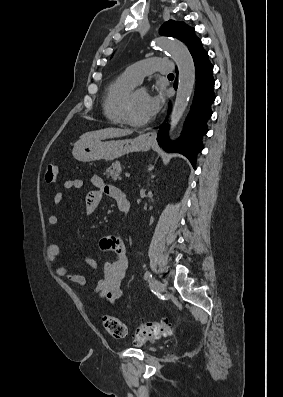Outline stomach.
<instances>
[{"mask_svg":"<svg viewBox=\"0 0 283 397\" xmlns=\"http://www.w3.org/2000/svg\"><path fill=\"white\" fill-rule=\"evenodd\" d=\"M151 145V141L145 135L134 139L105 142L99 139L79 140L75 143L72 154L80 162L114 160L129 152L148 151Z\"/></svg>","mask_w":283,"mask_h":397,"instance_id":"0dacf381","label":"stomach"}]
</instances>
